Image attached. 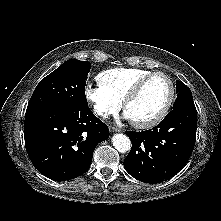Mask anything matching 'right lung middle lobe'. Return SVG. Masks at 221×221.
I'll use <instances>...</instances> for the list:
<instances>
[{
	"label": "right lung middle lobe",
	"mask_w": 221,
	"mask_h": 221,
	"mask_svg": "<svg viewBox=\"0 0 221 221\" xmlns=\"http://www.w3.org/2000/svg\"><path fill=\"white\" fill-rule=\"evenodd\" d=\"M90 65L76 59L64 62L37 85L26 113L45 109L77 112L87 108L85 84Z\"/></svg>",
	"instance_id": "dd1d6c3e"
}]
</instances>
